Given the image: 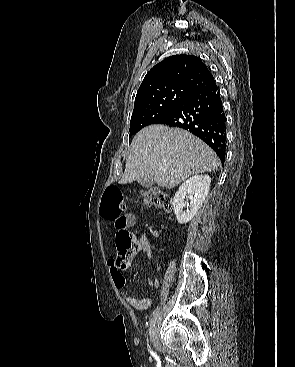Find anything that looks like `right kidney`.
I'll return each mask as SVG.
<instances>
[{"instance_id": "1", "label": "right kidney", "mask_w": 295, "mask_h": 367, "mask_svg": "<svg viewBox=\"0 0 295 367\" xmlns=\"http://www.w3.org/2000/svg\"><path fill=\"white\" fill-rule=\"evenodd\" d=\"M210 183L211 178L208 175H195L179 187L173 199V207L180 224L188 223L196 215L208 195ZM185 198L190 200L187 211H184L188 205Z\"/></svg>"}]
</instances>
